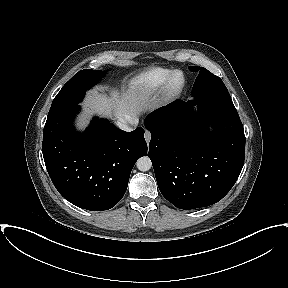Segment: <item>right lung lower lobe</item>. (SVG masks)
Returning a JSON list of instances; mask_svg holds the SVG:
<instances>
[{
  "label": "right lung lower lobe",
  "instance_id": "obj_1",
  "mask_svg": "<svg viewBox=\"0 0 288 288\" xmlns=\"http://www.w3.org/2000/svg\"><path fill=\"white\" fill-rule=\"evenodd\" d=\"M79 106L47 118L42 151L58 192L77 207L108 210L124 196L131 170L147 155L144 130L125 132L108 120L94 118L83 133L73 127Z\"/></svg>",
  "mask_w": 288,
  "mask_h": 288
}]
</instances>
